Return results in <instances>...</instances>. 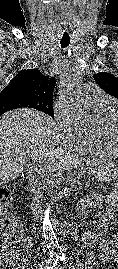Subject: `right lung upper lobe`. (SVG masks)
<instances>
[{
	"label": "right lung upper lobe",
	"mask_w": 118,
	"mask_h": 269,
	"mask_svg": "<svg viewBox=\"0 0 118 269\" xmlns=\"http://www.w3.org/2000/svg\"><path fill=\"white\" fill-rule=\"evenodd\" d=\"M55 79L42 75L37 69L20 71L2 90L0 96L15 93L29 97L41 104H52Z\"/></svg>",
	"instance_id": "right-lung-upper-lobe-1"
}]
</instances>
